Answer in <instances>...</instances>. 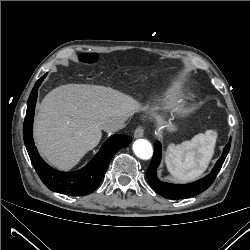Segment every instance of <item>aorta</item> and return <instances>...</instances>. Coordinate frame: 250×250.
I'll use <instances>...</instances> for the list:
<instances>
[{
  "label": "aorta",
  "instance_id": "762f6f07",
  "mask_svg": "<svg viewBox=\"0 0 250 250\" xmlns=\"http://www.w3.org/2000/svg\"><path fill=\"white\" fill-rule=\"evenodd\" d=\"M133 151L137 157L147 160L152 157L153 149L150 142L145 139H138L133 144Z\"/></svg>",
  "mask_w": 250,
  "mask_h": 250
}]
</instances>
